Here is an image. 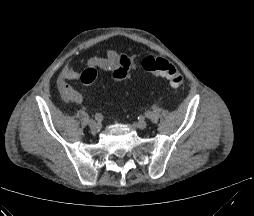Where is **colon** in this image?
<instances>
[{"instance_id": "5ec220e1", "label": "colon", "mask_w": 254, "mask_h": 216, "mask_svg": "<svg viewBox=\"0 0 254 216\" xmlns=\"http://www.w3.org/2000/svg\"><path fill=\"white\" fill-rule=\"evenodd\" d=\"M142 67L155 77L166 79L170 86L178 92L183 87V77L173 63L163 57L148 56L143 59ZM97 78V70L94 68L85 69L80 81L84 85H91Z\"/></svg>"}]
</instances>
